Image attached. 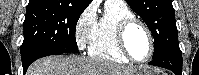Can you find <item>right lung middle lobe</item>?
Wrapping results in <instances>:
<instances>
[{"instance_id":"dd1d6c3e","label":"right lung middle lobe","mask_w":199,"mask_h":75,"mask_svg":"<svg viewBox=\"0 0 199 75\" xmlns=\"http://www.w3.org/2000/svg\"><path fill=\"white\" fill-rule=\"evenodd\" d=\"M83 11L60 5L27 6L20 52L40 45L60 52L78 53L75 30Z\"/></svg>"}]
</instances>
